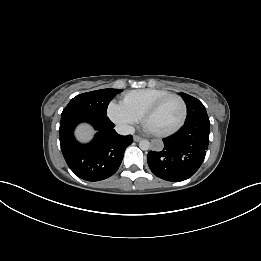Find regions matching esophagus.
I'll return each instance as SVG.
<instances>
[{"label": "esophagus", "instance_id": "1", "mask_svg": "<svg viewBox=\"0 0 261 261\" xmlns=\"http://www.w3.org/2000/svg\"><path fill=\"white\" fill-rule=\"evenodd\" d=\"M133 139L135 142H139L142 138L138 135H134Z\"/></svg>", "mask_w": 261, "mask_h": 261}]
</instances>
